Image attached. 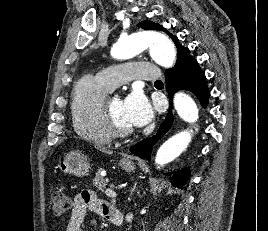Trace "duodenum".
<instances>
[{
  "label": "duodenum",
  "mask_w": 268,
  "mask_h": 231,
  "mask_svg": "<svg viewBox=\"0 0 268 231\" xmlns=\"http://www.w3.org/2000/svg\"><path fill=\"white\" fill-rule=\"evenodd\" d=\"M110 220L113 221L115 224L120 225L122 222L120 211L114 209L113 214L110 217Z\"/></svg>",
  "instance_id": "duodenum-1"
}]
</instances>
